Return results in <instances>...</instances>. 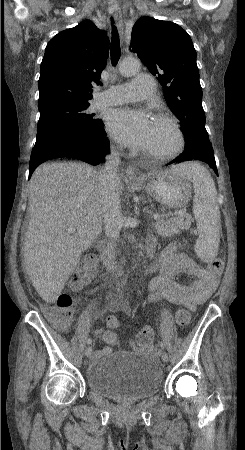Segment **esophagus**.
Wrapping results in <instances>:
<instances>
[{"label":"esophagus","mask_w":245,"mask_h":450,"mask_svg":"<svg viewBox=\"0 0 245 450\" xmlns=\"http://www.w3.org/2000/svg\"><path fill=\"white\" fill-rule=\"evenodd\" d=\"M109 12L114 16L116 25L119 29V32L121 33V35H123V21H122V15L120 13L118 4L112 3L109 6ZM125 172L129 179H131V180L139 179L140 172L135 166H133V165L127 166Z\"/></svg>","instance_id":"obj_1"}]
</instances>
